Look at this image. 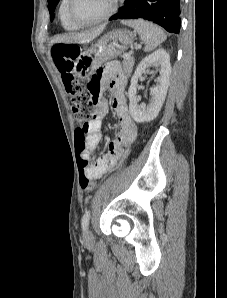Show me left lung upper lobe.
Masks as SVG:
<instances>
[{
    "label": "left lung upper lobe",
    "instance_id": "left-lung-upper-lobe-1",
    "mask_svg": "<svg viewBox=\"0 0 227 298\" xmlns=\"http://www.w3.org/2000/svg\"><path fill=\"white\" fill-rule=\"evenodd\" d=\"M59 0H48V9L50 12V20L52 21L54 18V10L56 8L57 3Z\"/></svg>",
    "mask_w": 227,
    "mask_h": 298
}]
</instances>
